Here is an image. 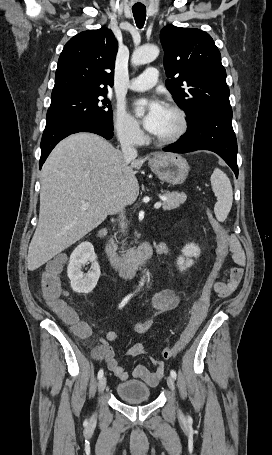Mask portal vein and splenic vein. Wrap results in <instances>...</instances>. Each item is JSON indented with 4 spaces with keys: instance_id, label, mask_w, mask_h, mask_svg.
Returning a JSON list of instances; mask_svg holds the SVG:
<instances>
[{
    "instance_id": "obj_1",
    "label": "portal vein and splenic vein",
    "mask_w": 272,
    "mask_h": 455,
    "mask_svg": "<svg viewBox=\"0 0 272 455\" xmlns=\"http://www.w3.org/2000/svg\"><path fill=\"white\" fill-rule=\"evenodd\" d=\"M162 203L161 202H157L155 205H154V208L155 209H159L161 207ZM90 206V203L89 202H84L82 205H81V209L82 210H85L87 209L88 207Z\"/></svg>"
}]
</instances>
